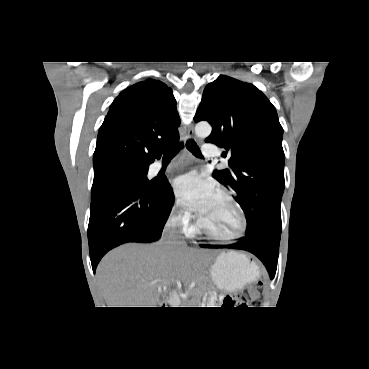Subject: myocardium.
<instances>
[{
  "label": "myocardium",
  "mask_w": 369,
  "mask_h": 369,
  "mask_svg": "<svg viewBox=\"0 0 369 369\" xmlns=\"http://www.w3.org/2000/svg\"><path fill=\"white\" fill-rule=\"evenodd\" d=\"M217 194L219 196L223 197L224 199H226L237 211V213L239 215V218H240L239 231L235 235H232V236H222V235L216 234L213 231L206 228L204 226V224L202 223L200 218L197 221L198 230L201 233L205 234L207 237H209L211 239H214V240H218V241L233 242V241H237V240L242 239L246 235L247 228H248L247 217H246V214H245L243 208L237 202V200L230 193H228L227 191L219 190Z\"/></svg>",
  "instance_id": "f54148a6"
}]
</instances>
